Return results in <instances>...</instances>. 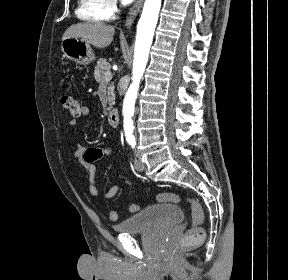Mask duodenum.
Instances as JSON below:
<instances>
[{
  "label": "duodenum",
  "instance_id": "1",
  "mask_svg": "<svg viewBox=\"0 0 288 280\" xmlns=\"http://www.w3.org/2000/svg\"><path fill=\"white\" fill-rule=\"evenodd\" d=\"M107 120L110 126L116 128L119 125L120 115L117 109H111L108 113Z\"/></svg>",
  "mask_w": 288,
  "mask_h": 280
}]
</instances>
